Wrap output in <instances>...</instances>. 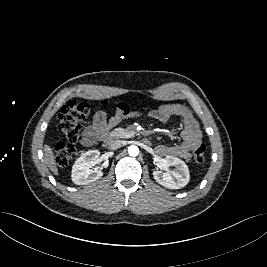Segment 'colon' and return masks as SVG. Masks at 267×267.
<instances>
[{
    "mask_svg": "<svg viewBox=\"0 0 267 267\" xmlns=\"http://www.w3.org/2000/svg\"><path fill=\"white\" fill-rule=\"evenodd\" d=\"M90 112L87 103L76 100L68 101L59 113V130L65 136L67 142H59L56 145V162L63 167L70 164L78 155L76 143L82 139V123ZM206 147L199 144L193 150V159L196 163H202L205 158Z\"/></svg>",
    "mask_w": 267,
    "mask_h": 267,
    "instance_id": "obj_1",
    "label": "colon"
}]
</instances>
